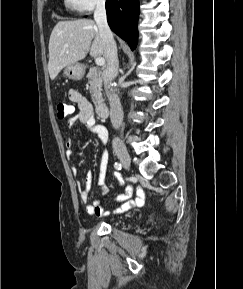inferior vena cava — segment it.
I'll use <instances>...</instances> for the list:
<instances>
[{"label": "inferior vena cava", "mask_w": 243, "mask_h": 289, "mask_svg": "<svg viewBox=\"0 0 243 289\" xmlns=\"http://www.w3.org/2000/svg\"><path fill=\"white\" fill-rule=\"evenodd\" d=\"M94 19L99 29L100 37L104 44V56L107 61L106 68L104 70V82L105 87L108 88L111 82L118 74V56L117 46L113 38L112 31L107 23L105 0H97L96 8L94 11ZM107 96L110 103V119L112 126L115 129L120 128L123 121V110L120 104V100L115 93L107 92ZM112 147L115 152L126 150L124 143L115 137L112 141Z\"/></svg>", "instance_id": "obj_1"}]
</instances>
